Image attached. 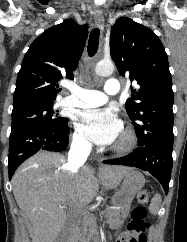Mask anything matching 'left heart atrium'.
I'll return each mask as SVG.
<instances>
[{
	"label": "left heart atrium",
	"mask_w": 187,
	"mask_h": 242,
	"mask_svg": "<svg viewBox=\"0 0 187 242\" xmlns=\"http://www.w3.org/2000/svg\"><path fill=\"white\" fill-rule=\"evenodd\" d=\"M79 125L82 133L99 145L115 143L122 131V123L109 108H97L79 114Z\"/></svg>",
	"instance_id": "39dd6f15"
}]
</instances>
